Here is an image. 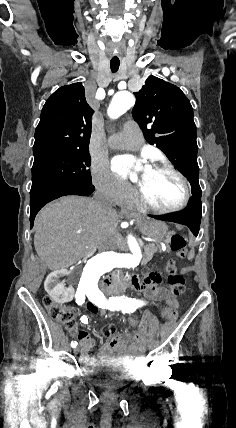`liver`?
<instances>
[{
	"mask_svg": "<svg viewBox=\"0 0 236 428\" xmlns=\"http://www.w3.org/2000/svg\"><path fill=\"white\" fill-rule=\"evenodd\" d=\"M118 214L97 200L65 196L47 204L35 220V250L50 270L68 268L96 248L112 250Z\"/></svg>",
	"mask_w": 236,
	"mask_h": 428,
	"instance_id": "1",
	"label": "liver"
}]
</instances>
